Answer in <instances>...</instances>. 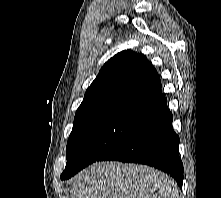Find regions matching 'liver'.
<instances>
[{"label": "liver", "mask_w": 221, "mask_h": 198, "mask_svg": "<svg viewBox=\"0 0 221 198\" xmlns=\"http://www.w3.org/2000/svg\"><path fill=\"white\" fill-rule=\"evenodd\" d=\"M71 198H180L177 183L152 167L96 162L79 172Z\"/></svg>", "instance_id": "obj_1"}]
</instances>
